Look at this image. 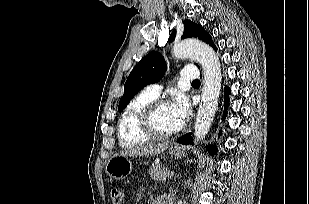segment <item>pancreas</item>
<instances>
[{
  "mask_svg": "<svg viewBox=\"0 0 309 204\" xmlns=\"http://www.w3.org/2000/svg\"><path fill=\"white\" fill-rule=\"evenodd\" d=\"M148 173L155 181H164L168 177V170L159 164H153Z\"/></svg>",
  "mask_w": 309,
  "mask_h": 204,
  "instance_id": "cf45deb5",
  "label": "pancreas"
}]
</instances>
